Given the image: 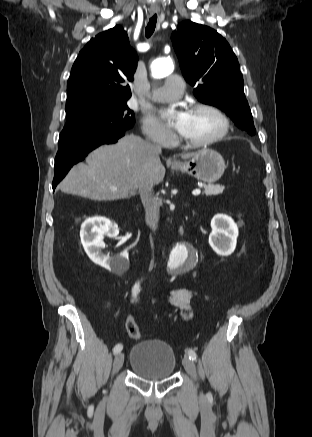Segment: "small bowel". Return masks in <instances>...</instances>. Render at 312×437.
Masks as SVG:
<instances>
[{
    "instance_id": "obj_1",
    "label": "small bowel",
    "mask_w": 312,
    "mask_h": 437,
    "mask_svg": "<svg viewBox=\"0 0 312 437\" xmlns=\"http://www.w3.org/2000/svg\"><path fill=\"white\" fill-rule=\"evenodd\" d=\"M194 294L188 289H175L165 296V300L173 306L184 319H189L192 314L191 301Z\"/></svg>"
}]
</instances>
